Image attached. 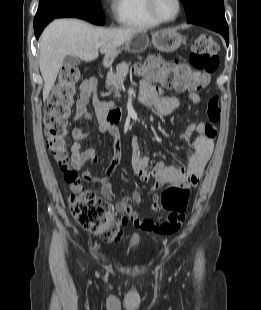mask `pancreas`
<instances>
[{
	"label": "pancreas",
	"mask_w": 261,
	"mask_h": 310,
	"mask_svg": "<svg viewBox=\"0 0 261 310\" xmlns=\"http://www.w3.org/2000/svg\"><path fill=\"white\" fill-rule=\"evenodd\" d=\"M129 72V66L123 62L116 66V73H109L107 77V87L116 89V97H120L118 89L123 88L124 80Z\"/></svg>",
	"instance_id": "pancreas-1"
}]
</instances>
